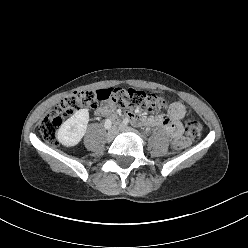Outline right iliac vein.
Returning a JSON list of instances; mask_svg holds the SVG:
<instances>
[{
  "label": "right iliac vein",
  "mask_w": 248,
  "mask_h": 248,
  "mask_svg": "<svg viewBox=\"0 0 248 248\" xmlns=\"http://www.w3.org/2000/svg\"><path fill=\"white\" fill-rule=\"evenodd\" d=\"M116 128L113 127L112 129H110L106 135V139L107 141H112L114 139V137L116 136Z\"/></svg>",
  "instance_id": "obj_1"
}]
</instances>
